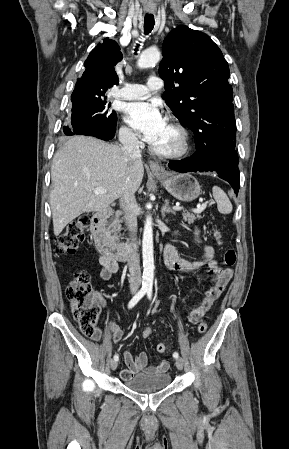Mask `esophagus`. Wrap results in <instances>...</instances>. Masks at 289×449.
I'll return each mask as SVG.
<instances>
[{
    "label": "esophagus",
    "mask_w": 289,
    "mask_h": 449,
    "mask_svg": "<svg viewBox=\"0 0 289 449\" xmlns=\"http://www.w3.org/2000/svg\"><path fill=\"white\" fill-rule=\"evenodd\" d=\"M148 164H149L150 169H151L153 172H159V173L164 172L163 167H162L159 163L150 160V161H148Z\"/></svg>",
    "instance_id": "34e87169"
}]
</instances>
